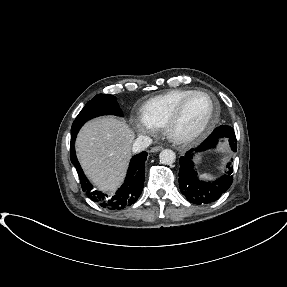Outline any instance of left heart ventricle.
<instances>
[{
	"label": "left heart ventricle",
	"mask_w": 287,
	"mask_h": 287,
	"mask_svg": "<svg viewBox=\"0 0 287 287\" xmlns=\"http://www.w3.org/2000/svg\"><path fill=\"white\" fill-rule=\"evenodd\" d=\"M211 103L206 96L192 97L184 108L182 117L176 129L179 133H188L199 128L207 119Z\"/></svg>",
	"instance_id": "1"
}]
</instances>
